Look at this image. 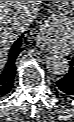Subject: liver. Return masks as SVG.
<instances>
[{
  "label": "liver",
  "mask_w": 74,
  "mask_h": 122,
  "mask_svg": "<svg viewBox=\"0 0 74 122\" xmlns=\"http://www.w3.org/2000/svg\"><path fill=\"white\" fill-rule=\"evenodd\" d=\"M42 1H0V63L8 58V50L27 28L21 29L22 18L38 8Z\"/></svg>",
  "instance_id": "1"
}]
</instances>
